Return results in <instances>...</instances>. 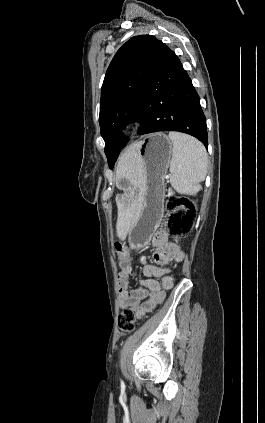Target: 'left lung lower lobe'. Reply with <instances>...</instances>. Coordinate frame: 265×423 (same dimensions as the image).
<instances>
[{
	"mask_svg": "<svg viewBox=\"0 0 265 423\" xmlns=\"http://www.w3.org/2000/svg\"><path fill=\"white\" fill-rule=\"evenodd\" d=\"M135 120L141 124L140 135L178 131L208 145L200 98L180 60L164 43L141 93Z\"/></svg>",
	"mask_w": 265,
	"mask_h": 423,
	"instance_id": "obj_1",
	"label": "left lung lower lobe"
}]
</instances>
